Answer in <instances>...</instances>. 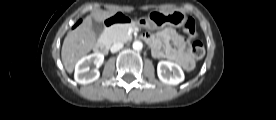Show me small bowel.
<instances>
[{
    "mask_svg": "<svg viewBox=\"0 0 276 120\" xmlns=\"http://www.w3.org/2000/svg\"><path fill=\"white\" fill-rule=\"evenodd\" d=\"M143 37L151 47L154 57L167 58L186 70H191L194 67V61L188 53L186 39L175 30L167 28L157 34L145 33Z\"/></svg>",
    "mask_w": 276,
    "mask_h": 120,
    "instance_id": "c3829d8e",
    "label": "small bowel"
}]
</instances>
